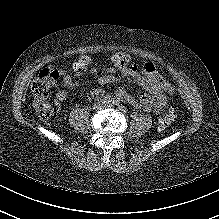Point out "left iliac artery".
I'll use <instances>...</instances> for the list:
<instances>
[{"mask_svg": "<svg viewBox=\"0 0 219 219\" xmlns=\"http://www.w3.org/2000/svg\"><path fill=\"white\" fill-rule=\"evenodd\" d=\"M113 104H114V105H119V104H120V98H115V99L113 100Z\"/></svg>", "mask_w": 219, "mask_h": 219, "instance_id": "obj_1", "label": "left iliac artery"}]
</instances>
